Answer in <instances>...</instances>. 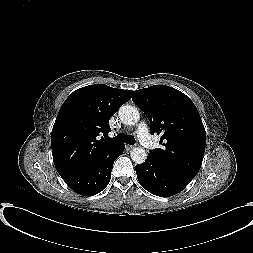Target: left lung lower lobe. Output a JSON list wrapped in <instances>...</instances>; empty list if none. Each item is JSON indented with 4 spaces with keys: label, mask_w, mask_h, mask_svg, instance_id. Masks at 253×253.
Returning a JSON list of instances; mask_svg holds the SVG:
<instances>
[{
    "label": "left lung lower lobe",
    "mask_w": 253,
    "mask_h": 253,
    "mask_svg": "<svg viewBox=\"0 0 253 253\" xmlns=\"http://www.w3.org/2000/svg\"><path fill=\"white\" fill-rule=\"evenodd\" d=\"M136 173L143 188L161 197L181 192L193 179L159 163L149 155L144 163L136 165Z\"/></svg>",
    "instance_id": "left-lung-lower-lobe-1"
}]
</instances>
